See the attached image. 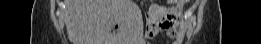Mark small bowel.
Returning <instances> with one entry per match:
<instances>
[{"label": "small bowel", "instance_id": "obj_1", "mask_svg": "<svg viewBox=\"0 0 261 44\" xmlns=\"http://www.w3.org/2000/svg\"><path fill=\"white\" fill-rule=\"evenodd\" d=\"M182 7L173 4L168 6L159 4L151 5L147 36L153 37L161 32L173 37L176 42L181 40L185 28L182 18Z\"/></svg>", "mask_w": 261, "mask_h": 44}]
</instances>
